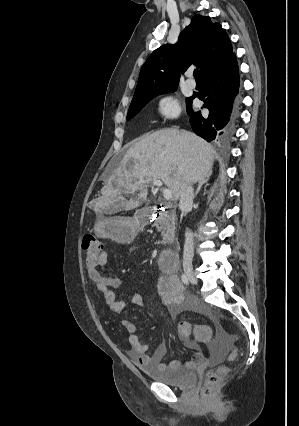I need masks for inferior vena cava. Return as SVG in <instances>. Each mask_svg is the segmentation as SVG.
Segmentation results:
<instances>
[{
	"mask_svg": "<svg viewBox=\"0 0 299 426\" xmlns=\"http://www.w3.org/2000/svg\"><path fill=\"white\" fill-rule=\"evenodd\" d=\"M194 192L193 187L189 183H184L180 191L179 208L181 210V216H185L193 206ZM194 256L193 247V234L191 230L186 229L185 232V243L183 250V266L185 268L192 267V259Z\"/></svg>",
	"mask_w": 299,
	"mask_h": 426,
	"instance_id": "inferior-vena-cava-1",
	"label": "inferior vena cava"
}]
</instances>
